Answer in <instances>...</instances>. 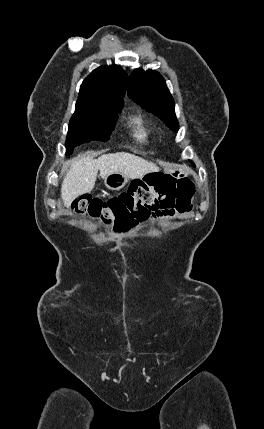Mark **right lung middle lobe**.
Returning <instances> with one entry per match:
<instances>
[{"instance_id": "dd1d6c3e", "label": "right lung middle lobe", "mask_w": 264, "mask_h": 429, "mask_svg": "<svg viewBox=\"0 0 264 429\" xmlns=\"http://www.w3.org/2000/svg\"><path fill=\"white\" fill-rule=\"evenodd\" d=\"M122 106L123 104L77 102L69 123L65 144L67 154H71L75 146L85 142L107 141Z\"/></svg>"}]
</instances>
